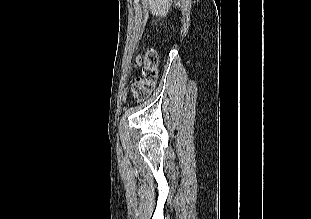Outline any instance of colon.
Masks as SVG:
<instances>
[{
    "label": "colon",
    "instance_id": "obj_1",
    "mask_svg": "<svg viewBox=\"0 0 311 219\" xmlns=\"http://www.w3.org/2000/svg\"><path fill=\"white\" fill-rule=\"evenodd\" d=\"M135 66L140 68V75L132 83L131 90L134 98L137 101H142L148 97L158 78L157 52L152 48L146 49L136 57Z\"/></svg>",
    "mask_w": 311,
    "mask_h": 219
}]
</instances>
